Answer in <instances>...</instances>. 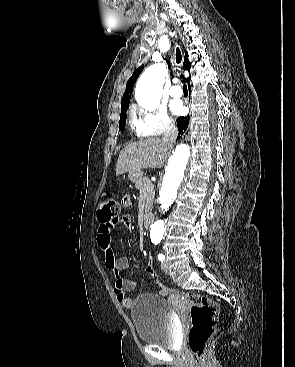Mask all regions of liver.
<instances>
[{"instance_id": "liver-1", "label": "liver", "mask_w": 295, "mask_h": 367, "mask_svg": "<svg viewBox=\"0 0 295 367\" xmlns=\"http://www.w3.org/2000/svg\"><path fill=\"white\" fill-rule=\"evenodd\" d=\"M168 148L163 138H148L128 144L119 154L116 176L145 168H161L167 158Z\"/></svg>"}]
</instances>
